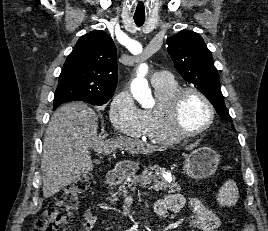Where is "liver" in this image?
Returning <instances> with one entry per match:
<instances>
[{
  "mask_svg": "<svg viewBox=\"0 0 268 231\" xmlns=\"http://www.w3.org/2000/svg\"><path fill=\"white\" fill-rule=\"evenodd\" d=\"M98 115L85 103L59 107L48 123L41 158L43 197L49 198L94 168L90 149L110 154L125 149L131 154L151 153L156 147L119 136L102 140L98 134Z\"/></svg>",
  "mask_w": 268,
  "mask_h": 231,
  "instance_id": "liver-1",
  "label": "liver"
}]
</instances>
